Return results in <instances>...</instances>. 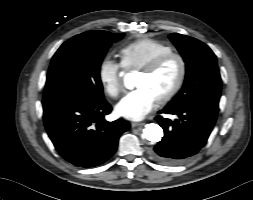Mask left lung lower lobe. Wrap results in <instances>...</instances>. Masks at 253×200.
Returning a JSON list of instances; mask_svg holds the SVG:
<instances>
[{
  "instance_id": "left-lung-lower-lobe-1",
  "label": "left lung lower lobe",
  "mask_w": 253,
  "mask_h": 200,
  "mask_svg": "<svg viewBox=\"0 0 253 200\" xmlns=\"http://www.w3.org/2000/svg\"><path fill=\"white\" fill-rule=\"evenodd\" d=\"M219 111L218 102L199 101L183 107H168L159 114L176 115L170 120L157 116L155 119L164 130V136L150 156L157 162L176 165L195 155L206 144Z\"/></svg>"
}]
</instances>
